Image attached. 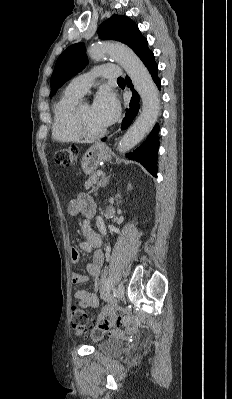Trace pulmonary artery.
<instances>
[{"label":"pulmonary artery","mask_w":232,"mask_h":399,"mask_svg":"<svg viewBox=\"0 0 232 399\" xmlns=\"http://www.w3.org/2000/svg\"><path fill=\"white\" fill-rule=\"evenodd\" d=\"M94 68L100 70L102 65L96 63ZM103 68L105 70L101 69L99 71L102 78L106 76L107 80H119L120 75L117 63H106ZM95 82V77H91L90 73H77L75 81H70L68 89H65V96H89V89L85 84H95Z\"/></svg>","instance_id":"1"}]
</instances>
